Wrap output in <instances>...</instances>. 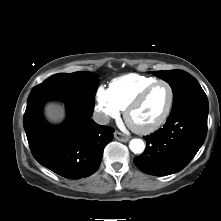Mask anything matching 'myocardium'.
Wrapping results in <instances>:
<instances>
[{"label":"myocardium","instance_id":"myocardium-1","mask_svg":"<svg viewBox=\"0 0 221 221\" xmlns=\"http://www.w3.org/2000/svg\"><path fill=\"white\" fill-rule=\"evenodd\" d=\"M160 84H164L168 87L169 89V102L168 105L166 107V110L164 112V114L162 115V117L156 121L155 123L149 125V126H144V127H140V126H136L131 122V114L133 113V111L138 108L143 102L144 100L147 98V96L149 95V93L158 85ZM174 100H175V93H174V89L172 87V85L165 81V80H157L153 83H151L150 85H148L146 88H144L126 107L125 112H124V117L126 122L128 123V125L131 127V129L133 131H135L136 133L139 134H151L156 132L157 130H159L168 120L172 109H173V105H174Z\"/></svg>","mask_w":221,"mask_h":221}]
</instances>
